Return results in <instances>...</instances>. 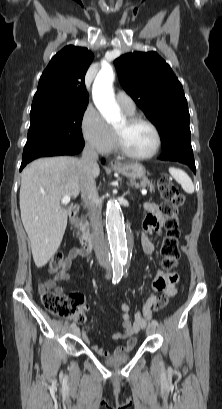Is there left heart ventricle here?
Masks as SVG:
<instances>
[{"mask_svg": "<svg viewBox=\"0 0 222 409\" xmlns=\"http://www.w3.org/2000/svg\"><path fill=\"white\" fill-rule=\"evenodd\" d=\"M115 130L122 135L126 147L134 154H147L155 146V133L146 124L138 123L129 126L124 119L115 127Z\"/></svg>", "mask_w": 222, "mask_h": 409, "instance_id": "left-heart-ventricle-1", "label": "left heart ventricle"}]
</instances>
